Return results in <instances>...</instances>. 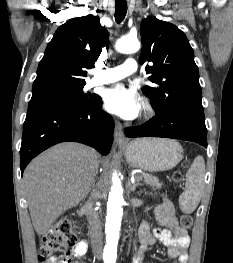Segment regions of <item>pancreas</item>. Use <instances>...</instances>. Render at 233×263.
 I'll use <instances>...</instances> for the list:
<instances>
[{
  "label": "pancreas",
  "mask_w": 233,
  "mask_h": 263,
  "mask_svg": "<svg viewBox=\"0 0 233 263\" xmlns=\"http://www.w3.org/2000/svg\"><path fill=\"white\" fill-rule=\"evenodd\" d=\"M137 179H141L146 183L148 186L153 187L154 189H159L163 185L159 182L158 178L153 176L152 174H144V175H137Z\"/></svg>",
  "instance_id": "pancreas-1"
}]
</instances>
